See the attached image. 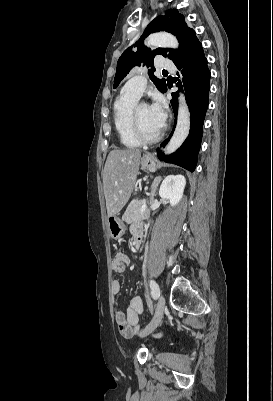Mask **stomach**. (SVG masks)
I'll list each match as a JSON object with an SVG mask.
<instances>
[{
	"instance_id": "obj_1",
	"label": "stomach",
	"mask_w": 273,
	"mask_h": 401,
	"mask_svg": "<svg viewBox=\"0 0 273 401\" xmlns=\"http://www.w3.org/2000/svg\"><path fill=\"white\" fill-rule=\"evenodd\" d=\"M146 154H148L146 158H141V168H143V170H150V172H155L157 160H155L151 152H146ZM107 223L111 239H121V237L125 235V225L124 223H122L121 219L117 217V215H114V217H108Z\"/></svg>"
}]
</instances>
